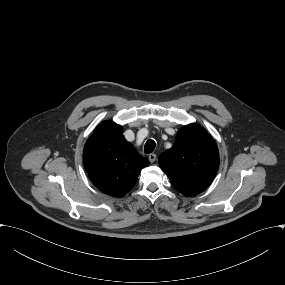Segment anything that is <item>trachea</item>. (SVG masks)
Masks as SVG:
<instances>
[{"label":"trachea","mask_w":285,"mask_h":285,"mask_svg":"<svg viewBox=\"0 0 285 285\" xmlns=\"http://www.w3.org/2000/svg\"><path fill=\"white\" fill-rule=\"evenodd\" d=\"M155 147H156L155 141L154 140H148L144 146V153L150 154L151 152L154 151Z\"/></svg>","instance_id":"trachea-1"}]
</instances>
